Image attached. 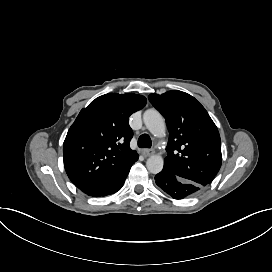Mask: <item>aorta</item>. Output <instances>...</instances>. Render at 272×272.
I'll list each match as a JSON object with an SVG mask.
<instances>
[{"label": "aorta", "mask_w": 272, "mask_h": 272, "mask_svg": "<svg viewBox=\"0 0 272 272\" xmlns=\"http://www.w3.org/2000/svg\"><path fill=\"white\" fill-rule=\"evenodd\" d=\"M143 120L146 128L151 134L157 137L165 135V119L163 116L154 108L148 109L143 114ZM164 165L163 158L159 155H152L146 161V167L152 174H158L162 171Z\"/></svg>", "instance_id": "1"}]
</instances>
